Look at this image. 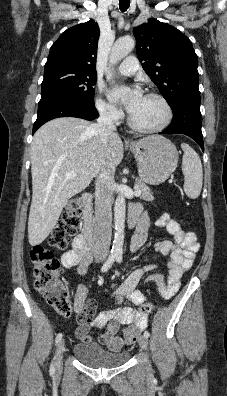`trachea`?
<instances>
[{"label": "trachea", "mask_w": 227, "mask_h": 396, "mask_svg": "<svg viewBox=\"0 0 227 396\" xmlns=\"http://www.w3.org/2000/svg\"><path fill=\"white\" fill-rule=\"evenodd\" d=\"M129 5H130V0H120L119 1V7L122 12L127 11V9L129 8Z\"/></svg>", "instance_id": "obj_1"}]
</instances>
